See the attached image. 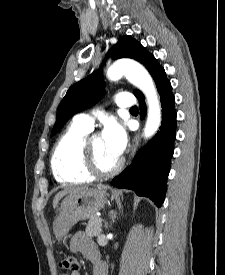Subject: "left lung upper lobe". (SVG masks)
<instances>
[{"instance_id":"left-lung-upper-lobe-1","label":"left lung upper lobe","mask_w":225,"mask_h":275,"mask_svg":"<svg viewBox=\"0 0 225 275\" xmlns=\"http://www.w3.org/2000/svg\"><path fill=\"white\" fill-rule=\"evenodd\" d=\"M109 56H112L113 59L132 58L137 60L148 69L153 79L163 69L155 57L130 36L120 37L118 42L109 50L106 58ZM103 89L104 81L101 70L71 86L59 105L56 123L51 135H55L75 113L96 104L101 98ZM133 93L136 97L142 94L137 89Z\"/></svg>"}]
</instances>
